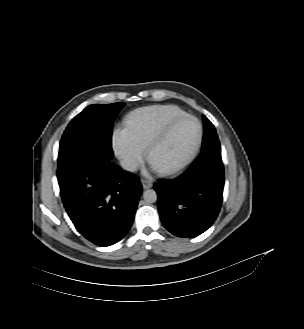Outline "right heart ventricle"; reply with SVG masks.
<instances>
[{
	"mask_svg": "<svg viewBox=\"0 0 304 329\" xmlns=\"http://www.w3.org/2000/svg\"><path fill=\"white\" fill-rule=\"evenodd\" d=\"M186 112L176 105L144 107L132 113L125 122L126 130L139 148L145 150L169 121Z\"/></svg>",
	"mask_w": 304,
	"mask_h": 329,
	"instance_id": "1",
	"label": "right heart ventricle"
}]
</instances>
